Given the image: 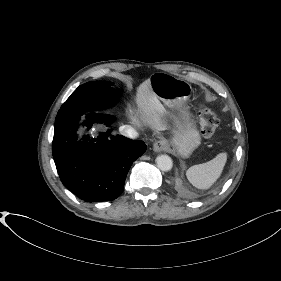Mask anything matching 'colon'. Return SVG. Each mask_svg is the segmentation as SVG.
<instances>
[{
	"instance_id": "1",
	"label": "colon",
	"mask_w": 281,
	"mask_h": 281,
	"mask_svg": "<svg viewBox=\"0 0 281 281\" xmlns=\"http://www.w3.org/2000/svg\"><path fill=\"white\" fill-rule=\"evenodd\" d=\"M218 126V119L209 108H203L201 111V127L205 137H211L215 134Z\"/></svg>"
}]
</instances>
